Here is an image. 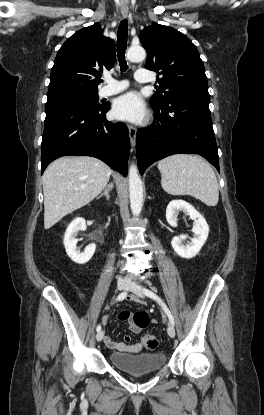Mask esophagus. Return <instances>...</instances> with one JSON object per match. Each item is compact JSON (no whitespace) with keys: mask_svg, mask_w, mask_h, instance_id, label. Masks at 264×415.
<instances>
[{"mask_svg":"<svg viewBox=\"0 0 264 415\" xmlns=\"http://www.w3.org/2000/svg\"><path fill=\"white\" fill-rule=\"evenodd\" d=\"M127 15H128V12H122L123 17H127ZM128 131H129L131 147L133 150L136 144L137 129L133 125H128Z\"/></svg>","mask_w":264,"mask_h":415,"instance_id":"esophagus-1","label":"esophagus"}]
</instances>
